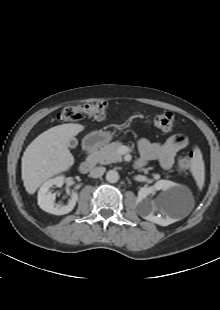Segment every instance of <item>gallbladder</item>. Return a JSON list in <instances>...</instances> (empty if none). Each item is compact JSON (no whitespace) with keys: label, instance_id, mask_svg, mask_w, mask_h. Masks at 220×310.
<instances>
[{"label":"gallbladder","instance_id":"bac80fb5","mask_svg":"<svg viewBox=\"0 0 220 310\" xmlns=\"http://www.w3.org/2000/svg\"><path fill=\"white\" fill-rule=\"evenodd\" d=\"M77 145H78V140L76 138L72 137L71 139H69L68 146L71 149H74Z\"/></svg>","mask_w":220,"mask_h":310}]
</instances>
